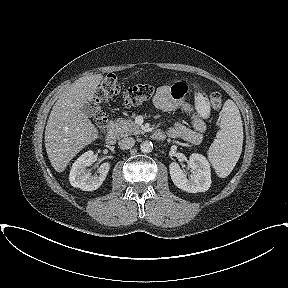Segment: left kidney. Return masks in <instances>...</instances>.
<instances>
[{"instance_id": "obj_1", "label": "left kidney", "mask_w": 288, "mask_h": 288, "mask_svg": "<svg viewBox=\"0 0 288 288\" xmlns=\"http://www.w3.org/2000/svg\"><path fill=\"white\" fill-rule=\"evenodd\" d=\"M188 168L191 174L182 170L178 163L169 166L173 183L189 193L205 192L211 185V170L208 160L201 154L193 153L189 158Z\"/></svg>"}]
</instances>
